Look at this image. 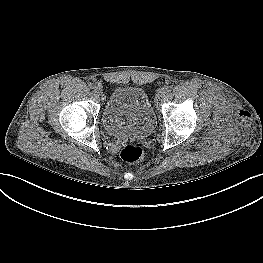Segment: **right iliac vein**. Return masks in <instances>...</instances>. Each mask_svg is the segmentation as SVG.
I'll use <instances>...</instances> for the list:
<instances>
[{"label": "right iliac vein", "instance_id": "1", "mask_svg": "<svg viewBox=\"0 0 263 263\" xmlns=\"http://www.w3.org/2000/svg\"><path fill=\"white\" fill-rule=\"evenodd\" d=\"M96 93L101 94L102 93V87L95 89Z\"/></svg>", "mask_w": 263, "mask_h": 263}]
</instances>
